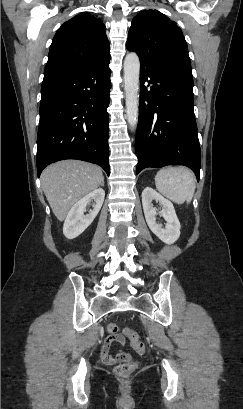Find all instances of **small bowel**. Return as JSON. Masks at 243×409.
I'll list each match as a JSON object with an SVG mask.
<instances>
[{"instance_id": "small-bowel-1", "label": "small bowel", "mask_w": 243, "mask_h": 409, "mask_svg": "<svg viewBox=\"0 0 243 409\" xmlns=\"http://www.w3.org/2000/svg\"><path fill=\"white\" fill-rule=\"evenodd\" d=\"M118 343L120 345H124L125 341L122 337L110 333L104 340L101 348H100V359L103 364L105 365H114L118 362H123L125 360H129L130 356L128 353L119 351L116 354L111 353L112 346Z\"/></svg>"}]
</instances>
